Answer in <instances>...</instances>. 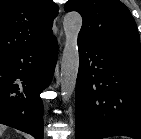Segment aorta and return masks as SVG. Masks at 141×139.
<instances>
[{"instance_id": "762f6f07", "label": "aorta", "mask_w": 141, "mask_h": 139, "mask_svg": "<svg viewBox=\"0 0 141 139\" xmlns=\"http://www.w3.org/2000/svg\"><path fill=\"white\" fill-rule=\"evenodd\" d=\"M65 46L61 61V95L67 101L73 94L79 69L78 35L82 17L77 12L67 13L63 20Z\"/></svg>"}]
</instances>
